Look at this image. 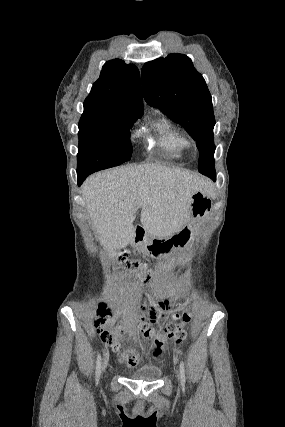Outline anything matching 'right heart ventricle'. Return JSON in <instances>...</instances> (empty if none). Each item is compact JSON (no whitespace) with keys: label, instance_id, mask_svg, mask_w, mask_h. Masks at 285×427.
Masks as SVG:
<instances>
[{"label":"right heart ventricle","instance_id":"obj_1","mask_svg":"<svg viewBox=\"0 0 285 427\" xmlns=\"http://www.w3.org/2000/svg\"><path fill=\"white\" fill-rule=\"evenodd\" d=\"M159 146L173 157L181 156L189 142L186 136L166 119H159L156 123Z\"/></svg>","mask_w":285,"mask_h":427}]
</instances>
